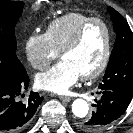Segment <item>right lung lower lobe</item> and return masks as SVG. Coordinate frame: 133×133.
Returning <instances> with one entry per match:
<instances>
[{"label": "right lung lower lobe", "instance_id": "right-lung-lower-lobe-1", "mask_svg": "<svg viewBox=\"0 0 133 133\" xmlns=\"http://www.w3.org/2000/svg\"><path fill=\"white\" fill-rule=\"evenodd\" d=\"M28 85L29 77L23 65L14 76L0 81V130H19L35 114L43 97L31 92L26 99H21Z\"/></svg>", "mask_w": 133, "mask_h": 133}]
</instances>
